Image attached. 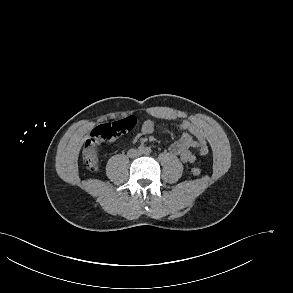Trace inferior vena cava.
<instances>
[{
    "label": "inferior vena cava",
    "instance_id": "1",
    "mask_svg": "<svg viewBox=\"0 0 293 293\" xmlns=\"http://www.w3.org/2000/svg\"><path fill=\"white\" fill-rule=\"evenodd\" d=\"M130 157H137L139 156V153L137 150H133L131 154H129Z\"/></svg>",
    "mask_w": 293,
    "mask_h": 293
}]
</instances>
